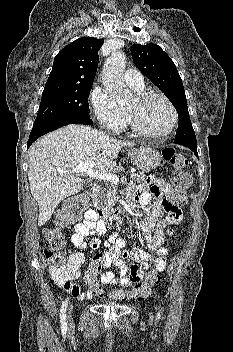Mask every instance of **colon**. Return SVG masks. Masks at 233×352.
Segmentation results:
<instances>
[{
  "mask_svg": "<svg viewBox=\"0 0 233 352\" xmlns=\"http://www.w3.org/2000/svg\"><path fill=\"white\" fill-rule=\"evenodd\" d=\"M163 157L173 168L171 176L173 190L168 196V201L173 206H183L187 202V189L191 183V177L185 171L188 160L184 155L177 153L173 148L169 147L163 150ZM86 205L87 201L84 196L73 198L65 209L57 215L55 223L44 230V236L48 242V247L44 248V256L50 262V272L55 280H67L74 272L63 253L65 241L60 228L78 221L82 217ZM103 266L104 255L97 254L92 258L85 273V282L93 295H104V291L98 280ZM161 271L160 267L154 265L147 272L145 280L137 284L131 291L116 289L111 291L109 296L118 300H127L129 298L144 300L150 295L152 287L159 283Z\"/></svg>",
  "mask_w": 233,
  "mask_h": 352,
  "instance_id": "1",
  "label": "colon"
}]
</instances>
